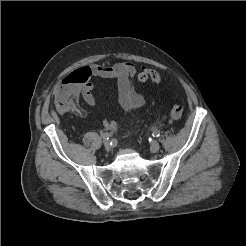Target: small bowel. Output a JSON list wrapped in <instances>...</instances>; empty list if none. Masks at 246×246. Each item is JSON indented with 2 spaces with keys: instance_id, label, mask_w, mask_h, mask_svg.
<instances>
[{
  "instance_id": "1",
  "label": "small bowel",
  "mask_w": 246,
  "mask_h": 246,
  "mask_svg": "<svg viewBox=\"0 0 246 246\" xmlns=\"http://www.w3.org/2000/svg\"><path fill=\"white\" fill-rule=\"evenodd\" d=\"M135 73L136 68L130 62H119L111 66L97 64L82 66L65 76L56 87L54 91L56 110L61 114L74 112L83 115L84 111L78 104L80 96L88 105L94 106L96 100L93 94L94 85L90 81L92 77L115 81L119 104L126 113L139 109L145 104V99L133 89L131 78ZM103 125L110 132L117 126L115 120L108 119L103 121Z\"/></svg>"
}]
</instances>
